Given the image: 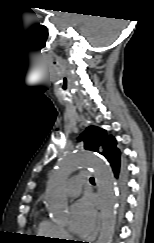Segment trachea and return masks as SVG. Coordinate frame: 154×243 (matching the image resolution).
<instances>
[{
    "mask_svg": "<svg viewBox=\"0 0 154 243\" xmlns=\"http://www.w3.org/2000/svg\"><path fill=\"white\" fill-rule=\"evenodd\" d=\"M90 182H94V178L91 177V178H90Z\"/></svg>",
    "mask_w": 154,
    "mask_h": 243,
    "instance_id": "3493384b",
    "label": "trachea"
}]
</instances>
